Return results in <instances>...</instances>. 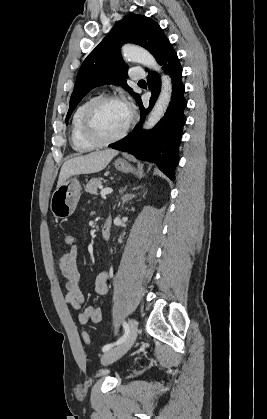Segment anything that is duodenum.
I'll return each mask as SVG.
<instances>
[{"label":"duodenum","mask_w":267,"mask_h":419,"mask_svg":"<svg viewBox=\"0 0 267 419\" xmlns=\"http://www.w3.org/2000/svg\"><path fill=\"white\" fill-rule=\"evenodd\" d=\"M112 222L111 219H107L101 228V237L103 240L107 241L111 235Z\"/></svg>","instance_id":"1"}]
</instances>
